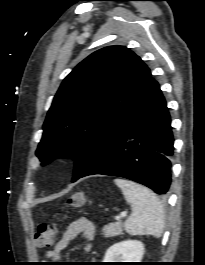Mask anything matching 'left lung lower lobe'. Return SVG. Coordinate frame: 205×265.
Returning a JSON list of instances; mask_svg holds the SVG:
<instances>
[{
    "instance_id": "left-lung-lower-lobe-1",
    "label": "left lung lower lobe",
    "mask_w": 205,
    "mask_h": 265,
    "mask_svg": "<svg viewBox=\"0 0 205 265\" xmlns=\"http://www.w3.org/2000/svg\"><path fill=\"white\" fill-rule=\"evenodd\" d=\"M170 123L159 84L150 77L143 94L73 181L93 174L119 176L165 194L174 141Z\"/></svg>"
}]
</instances>
